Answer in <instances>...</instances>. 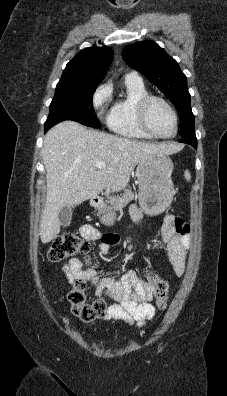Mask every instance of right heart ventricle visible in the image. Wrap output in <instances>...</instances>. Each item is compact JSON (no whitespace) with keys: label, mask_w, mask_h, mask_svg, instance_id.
<instances>
[{"label":"right heart ventricle","mask_w":227,"mask_h":396,"mask_svg":"<svg viewBox=\"0 0 227 396\" xmlns=\"http://www.w3.org/2000/svg\"><path fill=\"white\" fill-rule=\"evenodd\" d=\"M125 93L116 99L107 116L108 128L120 135L133 139H153L140 126L137 118V105L148 95L144 83L139 80L125 79Z\"/></svg>","instance_id":"1"}]
</instances>
